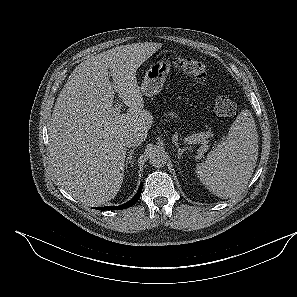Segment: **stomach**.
I'll use <instances>...</instances> for the list:
<instances>
[{
  "label": "stomach",
  "mask_w": 297,
  "mask_h": 297,
  "mask_svg": "<svg viewBox=\"0 0 297 297\" xmlns=\"http://www.w3.org/2000/svg\"><path fill=\"white\" fill-rule=\"evenodd\" d=\"M170 69L171 63L169 60L162 59L152 63L145 73L140 87L141 93L147 97L157 95L162 89Z\"/></svg>",
  "instance_id": "1"
}]
</instances>
